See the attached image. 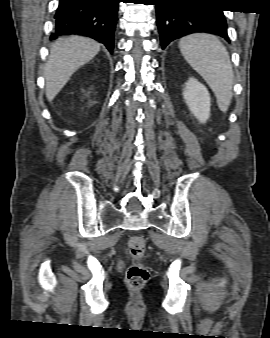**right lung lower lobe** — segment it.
<instances>
[{"label": "right lung lower lobe", "instance_id": "1", "mask_svg": "<svg viewBox=\"0 0 270 338\" xmlns=\"http://www.w3.org/2000/svg\"><path fill=\"white\" fill-rule=\"evenodd\" d=\"M119 0H60L50 39L78 34L103 43L112 53Z\"/></svg>", "mask_w": 270, "mask_h": 338}]
</instances>
